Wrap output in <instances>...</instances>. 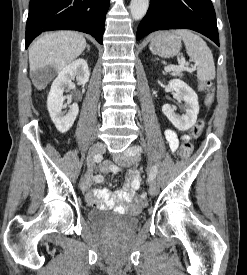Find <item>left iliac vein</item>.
<instances>
[{"mask_svg":"<svg viewBox=\"0 0 247 275\" xmlns=\"http://www.w3.org/2000/svg\"><path fill=\"white\" fill-rule=\"evenodd\" d=\"M135 146L129 147L125 150V152L122 155H117L115 157V161L120 165V166H131L137 161H139V153L134 152ZM158 192V185L156 181H152L150 186H149V193L154 196Z\"/></svg>","mask_w":247,"mask_h":275,"instance_id":"obj_1","label":"left iliac vein"}]
</instances>
